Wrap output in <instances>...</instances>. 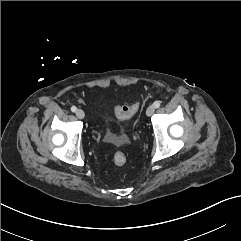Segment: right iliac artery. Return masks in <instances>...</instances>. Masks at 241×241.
Listing matches in <instances>:
<instances>
[{
    "instance_id": "82829eb1",
    "label": "right iliac artery",
    "mask_w": 241,
    "mask_h": 241,
    "mask_svg": "<svg viewBox=\"0 0 241 241\" xmlns=\"http://www.w3.org/2000/svg\"><path fill=\"white\" fill-rule=\"evenodd\" d=\"M71 111H72V112H75V111H76V107H75V106H72V107H71Z\"/></svg>"
}]
</instances>
